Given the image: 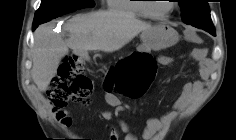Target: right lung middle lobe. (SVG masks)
<instances>
[{
  "label": "right lung middle lobe",
  "mask_w": 236,
  "mask_h": 140,
  "mask_svg": "<svg viewBox=\"0 0 236 140\" xmlns=\"http://www.w3.org/2000/svg\"><path fill=\"white\" fill-rule=\"evenodd\" d=\"M94 5L93 0H42L35 13L33 25L38 26L61 15Z\"/></svg>",
  "instance_id": "right-lung-middle-lobe-1"
}]
</instances>
